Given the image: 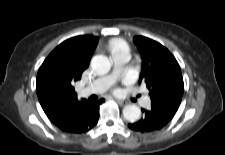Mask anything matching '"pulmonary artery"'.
Returning a JSON list of instances; mask_svg holds the SVG:
<instances>
[{
  "label": "pulmonary artery",
  "mask_w": 225,
  "mask_h": 155,
  "mask_svg": "<svg viewBox=\"0 0 225 155\" xmlns=\"http://www.w3.org/2000/svg\"><path fill=\"white\" fill-rule=\"evenodd\" d=\"M113 61V71L110 74L104 75L96 79L89 86L82 89L81 93L84 96L90 94H99L110 88L116 81L118 76L122 73L126 63L130 59V53L128 48H122L111 53ZM151 100L148 96L143 97L141 104L143 106H149Z\"/></svg>",
  "instance_id": "e3ab8cb5"
}]
</instances>
